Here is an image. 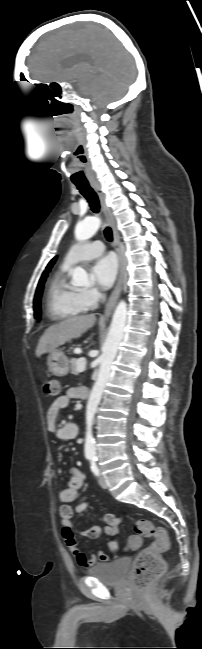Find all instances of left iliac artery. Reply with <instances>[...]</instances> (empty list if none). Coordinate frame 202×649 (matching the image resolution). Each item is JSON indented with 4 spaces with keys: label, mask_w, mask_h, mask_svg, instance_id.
<instances>
[{
    "label": "left iliac artery",
    "mask_w": 202,
    "mask_h": 649,
    "mask_svg": "<svg viewBox=\"0 0 202 649\" xmlns=\"http://www.w3.org/2000/svg\"><path fill=\"white\" fill-rule=\"evenodd\" d=\"M96 461H97L96 457L91 458V470L97 476L99 475V469L96 465Z\"/></svg>",
    "instance_id": "obj_1"
}]
</instances>
